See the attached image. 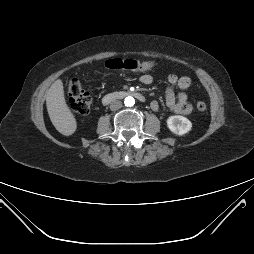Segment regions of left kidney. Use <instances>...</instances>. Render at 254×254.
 Instances as JSON below:
<instances>
[{
    "label": "left kidney",
    "mask_w": 254,
    "mask_h": 254,
    "mask_svg": "<svg viewBox=\"0 0 254 254\" xmlns=\"http://www.w3.org/2000/svg\"><path fill=\"white\" fill-rule=\"evenodd\" d=\"M167 126L172 133L184 135L191 130L192 123L184 116L174 115L167 119Z\"/></svg>",
    "instance_id": "left-kidney-1"
}]
</instances>
